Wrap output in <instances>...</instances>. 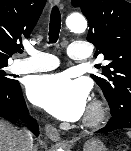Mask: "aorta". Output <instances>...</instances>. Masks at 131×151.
<instances>
[{
  "instance_id": "obj_1",
  "label": "aorta",
  "mask_w": 131,
  "mask_h": 151,
  "mask_svg": "<svg viewBox=\"0 0 131 151\" xmlns=\"http://www.w3.org/2000/svg\"><path fill=\"white\" fill-rule=\"evenodd\" d=\"M66 25L72 32H83L87 28V22L81 14H71L66 19ZM58 151H62V149H58Z\"/></svg>"
}]
</instances>
